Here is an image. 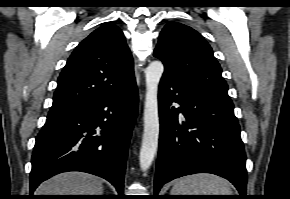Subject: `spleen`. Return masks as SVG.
<instances>
[{"label": "spleen", "instance_id": "1", "mask_svg": "<svg viewBox=\"0 0 290 199\" xmlns=\"http://www.w3.org/2000/svg\"><path fill=\"white\" fill-rule=\"evenodd\" d=\"M171 195H232V190L227 180L203 173L180 178Z\"/></svg>", "mask_w": 290, "mask_h": 199}]
</instances>
